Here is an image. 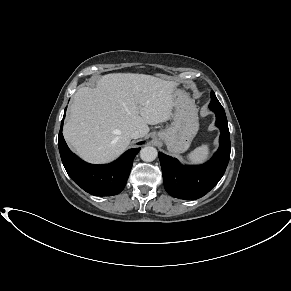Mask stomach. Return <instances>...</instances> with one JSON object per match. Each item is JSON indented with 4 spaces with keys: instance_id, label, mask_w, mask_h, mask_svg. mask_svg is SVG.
Returning a JSON list of instances; mask_svg holds the SVG:
<instances>
[{
    "instance_id": "obj_1",
    "label": "stomach",
    "mask_w": 291,
    "mask_h": 291,
    "mask_svg": "<svg viewBox=\"0 0 291 291\" xmlns=\"http://www.w3.org/2000/svg\"><path fill=\"white\" fill-rule=\"evenodd\" d=\"M173 103V123L161 130L158 137L165 142L170 152L182 153L190 147L199 129L197 109L194 100L180 89L174 90Z\"/></svg>"
}]
</instances>
